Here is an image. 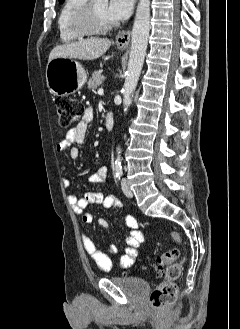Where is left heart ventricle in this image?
I'll return each instance as SVG.
<instances>
[{"mask_svg":"<svg viewBox=\"0 0 240 329\" xmlns=\"http://www.w3.org/2000/svg\"><path fill=\"white\" fill-rule=\"evenodd\" d=\"M93 6L97 16L104 22L111 23V21L106 17L105 10L107 3L105 0H93Z\"/></svg>","mask_w":240,"mask_h":329,"instance_id":"left-heart-ventricle-1","label":"left heart ventricle"}]
</instances>
